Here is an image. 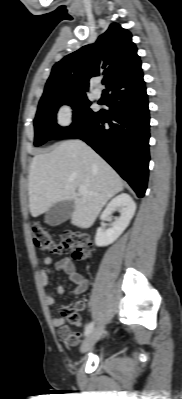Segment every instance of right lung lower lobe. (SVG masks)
<instances>
[{
  "instance_id": "right-lung-lower-lobe-1",
  "label": "right lung lower lobe",
  "mask_w": 182,
  "mask_h": 399,
  "mask_svg": "<svg viewBox=\"0 0 182 399\" xmlns=\"http://www.w3.org/2000/svg\"><path fill=\"white\" fill-rule=\"evenodd\" d=\"M110 110L95 112L79 131L62 139H82L126 180L139 198L147 188L149 110L140 73L111 85Z\"/></svg>"
}]
</instances>
